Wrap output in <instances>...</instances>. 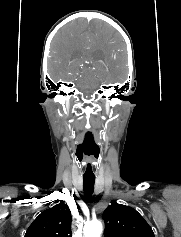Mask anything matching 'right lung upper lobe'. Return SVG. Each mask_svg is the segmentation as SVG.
<instances>
[{"label":"right lung upper lobe","mask_w":181,"mask_h":237,"mask_svg":"<svg viewBox=\"0 0 181 237\" xmlns=\"http://www.w3.org/2000/svg\"><path fill=\"white\" fill-rule=\"evenodd\" d=\"M71 212L61 200L43 211L29 226L24 237H72Z\"/></svg>","instance_id":"obj_1"}]
</instances>
